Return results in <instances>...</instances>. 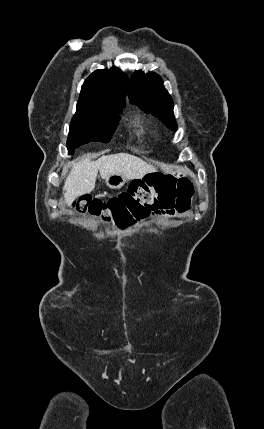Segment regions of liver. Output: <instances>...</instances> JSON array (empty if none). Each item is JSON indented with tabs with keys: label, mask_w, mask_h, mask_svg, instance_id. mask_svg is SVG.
<instances>
[{
	"label": "liver",
	"mask_w": 264,
	"mask_h": 429,
	"mask_svg": "<svg viewBox=\"0 0 264 429\" xmlns=\"http://www.w3.org/2000/svg\"><path fill=\"white\" fill-rule=\"evenodd\" d=\"M154 171L156 169L151 164L126 153L102 156L96 161H91L88 157L82 158L78 162H73L72 170L65 180L63 186L65 202L70 206L79 196L91 193L95 188L98 172L104 180L116 173L127 180H133Z\"/></svg>",
	"instance_id": "1"
}]
</instances>
